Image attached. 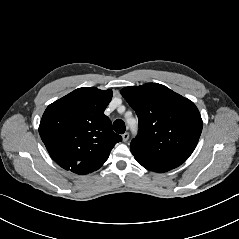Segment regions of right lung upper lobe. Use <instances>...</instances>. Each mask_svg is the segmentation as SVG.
Here are the masks:
<instances>
[{
  "mask_svg": "<svg viewBox=\"0 0 239 239\" xmlns=\"http://www.w3.org/2000/svg\"><path fill=\"white\" fill-rule=\"evenodd\" d=\"M112 95V90L78 88L45 110L39 134L52 159L65 170L79 175L98 170L122 141L104 114Z\"/></svg>",
  "mask_w": 239,
  "mask_h": 239,
  "instance_id": "cb5924a9",
  "label": "right lung upper lobe"
}]
</instances>
